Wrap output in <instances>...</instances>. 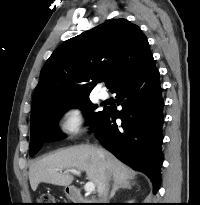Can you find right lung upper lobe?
<instances>
[{
  "label": "right lung upper lobe",
  "mask_w": 200,
  "mask_h": 205,
  "mask_svg": "<svg viewBox=\"0 0 200 205\" xmlns=\"http://www.w3.org/2000/svg\"><path fill=\"white\" fill-rule=\"evenodd\" d=\"M152 59L146 36L126 19L109 20L68 39L41 70L30 120L49 102L89 96L104 76L112 92Z\"/></svg>",
  "instance_id": "right-lung-upper-lobe-1"
}]
</instances>
